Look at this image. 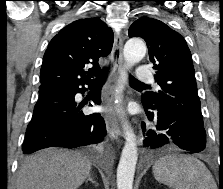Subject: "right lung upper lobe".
Instances as JSON below:
<instances>
[{
  "instance_id": "cb5924a9",
  "label": "right lung upper lobe",
  "mask_w": 223,
  "mask_h": 189,
  "mask_svg": "<svg viewBox=\"0 0 223 189\" xmlns=\"http://www.w3.org/2000/svg\"><path fill=\"white\" fill-rule=\"evenodd\" d=\"M112 45V29L98 18L67 25L52 38L45 51L39 89L92 84V75L100 71L98 59L108 56Z\"/></svg>"
}]
</instances>
